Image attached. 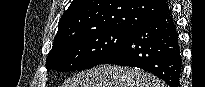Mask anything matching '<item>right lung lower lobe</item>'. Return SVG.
<instances>
[{
    "mask_svg": "<svg viewBox=\"0 0 205 87\" xmlns=\"http://www.w3.org/2000/svg\"><path fill=\"white\" fill-rule=\"evenodd\" d=\"M100 64L138 67L164 80L170 87H180L182 56L171 11L141 24Z\"/></svg>",
    "mask_w": 205,
    "mask_h": 87,
    "instance_id": "right-lung-lower-lobe-1",
    "label": "right lung lower lobe"
}]
</instances>
